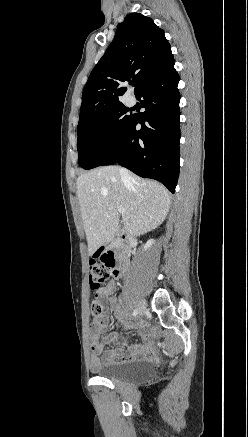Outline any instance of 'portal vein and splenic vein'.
Instances as JSON below:
<instances>
[{"instance_id":"18ae733b","label":"portal vein and splenic vein","mask_w":248,"mask_h":437,"mask_svg":"<svg viewBox=\"0 0 248 437\" xmlns=\"http://www.w3.org/2000/svg\"><path fill=\"white\" fill-rule=\"evenodd\" d=\"M117 210H118V212H119L120 214H122V216H124V214H125V209H124L123 207L118 206V207H117Z\"/></svg>"}]
</instances>
